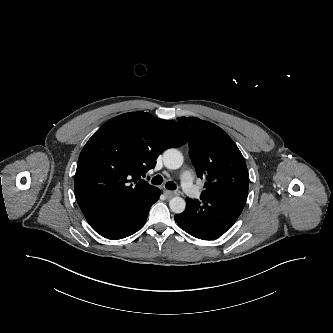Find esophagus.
I'll return each instance as SVG.
<instances>
[{"instance_id":"obj_1","label":"esophagus","mask_w":333,"mask_h":333,"mask_svg":"<svg viewBox=\"0 0 333 333\" xmlns=\"http://www.w3.org/2000/svg\"><path fill=\"white\" fill-rule=\"evenodd\" d=\"M164 194H165V196H166L168 199H170V198L174 197L175 195H177L176 192H174V191H170V190H165V191H164Z\"/></svg>"}]
</instances>
